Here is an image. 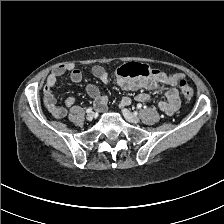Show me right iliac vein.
I'll list each match as a JSON object with an SVG mask.
<instances>
[{
    "label": "right iliac vein",
    "instance_id": "63e3f726",
    "mask_svg": "<svg viewBox=\"0 0 224 224\" xmlns=\"http://www.w3.org/2000/svg\"><path fill=\"white\" fill-rule=\"evenodd\" d=\"M94 119V114L93 113H90L87 115V120L88 121H92Z\"/></svg>",
    "mask_w": 224,
    "mask_h": 224
}]
</instances>
